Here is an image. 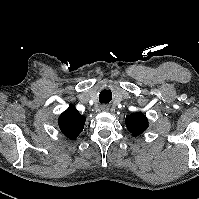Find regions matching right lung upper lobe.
<instances>
[{
    "label": "right lung upper lobe",
    "mask_w": 199,
    "mask_h": 199,
    "mask_svg": "<svg viewBox=\"0 0 199 199\" xmlns=\"http://www.w3.org/2000/svg\"><path fill=\"white\" fill-rule=\"evenodd\" d=\"M85 120L86 118L77 111L75 106L71 105L60 115L58 123L67 138L76 139L84 128Z\"/></svg>",
    "instance_id": "1"
}]
</instances>
